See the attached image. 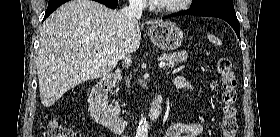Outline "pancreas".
Instances as JSON below:
<instances>
[{
  "instance_id": "pancreas-1",
  "label": "pancreas",
  "mask_w": 280,
  "mask_h": 137,
  "mask_svg": "<svg viewBox=\"0 0 280 137\" xmlns=\"http://www.w3.org/2000/svg\"><path fill=\"white\" fill-rule=\"evenodd\" d=\"M161 60L167 61V67L168 68H173L175 65L186 61L187 59V53L184 51H180L177 53H172V54H162L160 56ZM109 108L111 111L114 112H119L120 111V105L118 102H113L112 104L109 105Z\"/></svg>"
}]
</instances>
